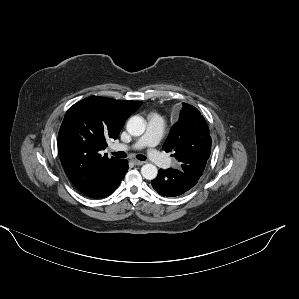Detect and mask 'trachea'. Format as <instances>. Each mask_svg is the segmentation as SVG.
Returning a JSON list of instances; mask_svg holds the SVG:
<instances>
[{
    "label": "trachea",
    "mask_w": 299,
    "mask_h": 299,
    "mask_svg": "<svg viewBox=\"0 0 299 299\" xmlns=\"http://www.w3.org/2000/svg\"><path fill=\"white\" fill-rule=\"evenodd\" d=\"M115 157H118V158H126L127 157V154L125 152H122V151H118V152H113L112 153ZM137 159L141 160V161H144L146 160V157L144 155H137L136 156Z\"/></svg>",
    "instance_id": "1"
}]
</instances>
